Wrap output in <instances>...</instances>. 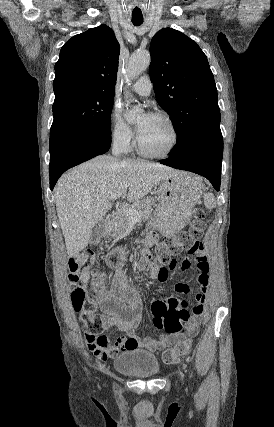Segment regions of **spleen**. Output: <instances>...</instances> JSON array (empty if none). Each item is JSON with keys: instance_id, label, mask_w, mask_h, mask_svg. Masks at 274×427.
Listing matches in <instances>:
<instances>
[{"instance_id": "obj_1", "label": "spleen", "mask_w": 274, "mask_h": 427, "mask_svg": "<svg viewBox=\"0 0 274 427\" xmlns=\"http://www.w3.org/2000/svg\"><path fill=\"white\" fill-rule=\"evenodd\" d=\"M191 186H193L194 190H201V180L200 178H196L194 182H192ZM193 200H196V196H194ZM204 206L208 208V210H213L216 206L215 196L213 194H205L204 196Z\"/></svg>"}]
</instances>
